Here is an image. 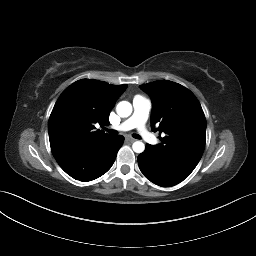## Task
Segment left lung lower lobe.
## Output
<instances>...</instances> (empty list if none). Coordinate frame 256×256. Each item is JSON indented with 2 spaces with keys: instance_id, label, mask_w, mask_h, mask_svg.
Segmentation results:
<instances>
[{
  "instance_id": "1",
  "label": "left lung lower lobe",
  "mask_w": 256,
  "mask_h": 256,
  "mask_svg": "<svg viewBox=\"0 0 256 256\" xmlns=\"http://www.w3.org/2000/svg\"><path fill=\"white\" fill-rule=\"evenodd\" d=\"M138 165L144 176L156 185L171 187L183 181L192 171L179 167L160 157L152 145L147 144L138 156Z\"/></svg>"
}]
</instances>
